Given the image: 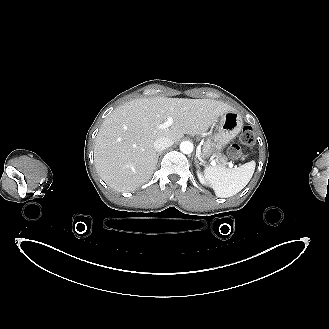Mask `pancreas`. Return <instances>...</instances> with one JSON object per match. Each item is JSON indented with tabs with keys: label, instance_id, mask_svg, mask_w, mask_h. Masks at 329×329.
<instances>
[{
	"label": "pancreas",
	"instance_id": "obj_1",
	"mask_svg": "<svg viewBox=\"0 0 329 329\" xmlns=\"http://www.w3.org/2000/svg\"><path fill=\"white\" fill-rule=\"evenodd\" d=\"M214 145L215 144L213 142H211L210 140L205 142L204 153H210L213 150Z\"/></svg>",
	"mask_w": 329,
	"mask_h": 329
}]
</instances>
